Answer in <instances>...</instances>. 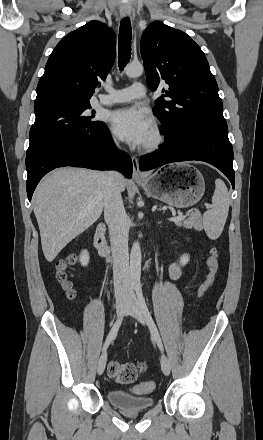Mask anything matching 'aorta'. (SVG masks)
<instances>
[{"label": "aorta", "instance_id": "762f6f07", "mask_svg": "<svg viewBox=\"0 0 263 440\" xmlns=\"http://www.w3.org/2000/svg\"><path fill=\"white\" fill-rule=\"evenodd\" d=\"M143 65L140 63H131L126 66L125 73L128 77L135 78L142 75ZM141 278V248L138 241H135L130 253V282L135 288L140 287Z\"/></svg>", "mask_w": 263, "mask_h": 440}]
</instances>
